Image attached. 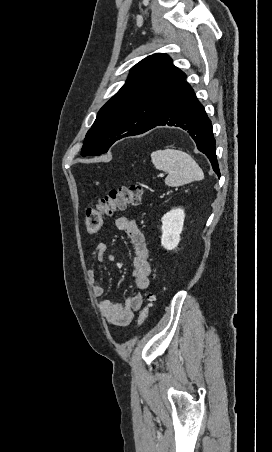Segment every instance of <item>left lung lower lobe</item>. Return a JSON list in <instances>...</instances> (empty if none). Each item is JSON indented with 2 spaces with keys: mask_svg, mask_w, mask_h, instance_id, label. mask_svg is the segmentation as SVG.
I'll list each match as a JSON object with an SVG mask.
<instances>
[{
  "mask_svg": "<svg viewBox=\"0 0 272 452\" xmlns=\"http://www.w3.org/2000/svg\"><path fill=\"white\" fill-rule=\"evenodd\" d=\"M165 125L186 130L195 141L197 149L208 157L214 172L220 177L211 120L193 89L185 81L168 100L155 122L142 133Z\"/></svg>",
  "mask_w": 272,
  "mask_h": 452,
  "instance_id": "0a47b994",
  "label": "left lung lower lobe"
}]
</instances>
